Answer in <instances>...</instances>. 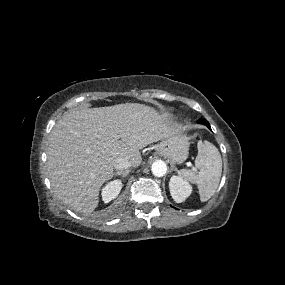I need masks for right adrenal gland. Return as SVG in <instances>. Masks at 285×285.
<instances>
[{
	"label": "right adrenal gland",
	"mask_w": 285,
	"mask_h": 285,
	"mask_svg": "<svg viewBox=\"0 0 285 285\" xmlns=\"http://www.w3.org/2000/svg\"><path fill=\"white\" fill-rule=\"evenodd\" d=\"M129 172H130V170L118 171V172L114 173L113 176L120 175L122 177H126Z\"/></svg>",
	"instance_id": "right-adrenal-gland-1"
}]
</instances>
